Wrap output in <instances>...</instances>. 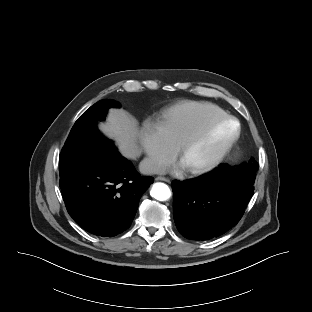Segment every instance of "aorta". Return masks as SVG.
I'll list each match as a JSON object with an SVG mask.
<instances>
[{"mask_svg":"<svg viewBox=\"0 0 312 312\" xmlns=\"http://www.w3.org/2000/svg\"><path fill=\"white\" fill-rule=\"evenodd\" d=\"M150 195L159 201H166L171 197V191L168 185L158 182L153 184Z\"/></svg>","mask_w":312,"mask_h":312,"instance_id":"1","label":"aorta"}]
</instances>
